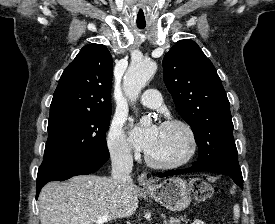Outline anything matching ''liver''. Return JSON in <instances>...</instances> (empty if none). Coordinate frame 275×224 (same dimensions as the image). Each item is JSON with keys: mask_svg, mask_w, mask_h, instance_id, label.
<instances>
[{"mask_svg": "<svg viewBox=\"0 0 275 224\" xmlns=\"http://www.w3.org/2000/svg\"><path fill=\"white\" fill-rule=\"evenodd\" d=\"M138 191L130 184L121 192L113 177L80 175L66 183L46 184L38 198L41 224H95L130 217L138 208Z\"/></svg>", "mask_w": 275, "mask_h": 224, "instance_id": "liver-1", "label": "liver"}]
</instances>
